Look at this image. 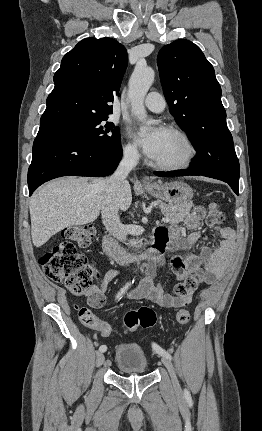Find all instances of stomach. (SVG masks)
I'll return each mask as SVG.
<instances>
[{
    "label": "stomach",
    "instance_id": "stomach-1",
    "mask_svg": "<svg viewBox=\"0 0 262 431\" xmlns=\"http://www.w3.org/2000/svg\"><path fill=\"white\" fill-rule=\"evenodd\" d=\"M151 196L169 203L170 205L189 204L193 197V189L183 181L169 183H154L144 188Z\"/></svg>",
    "mask_w": 262,
    "mask_h": 431
}]
</instances>
